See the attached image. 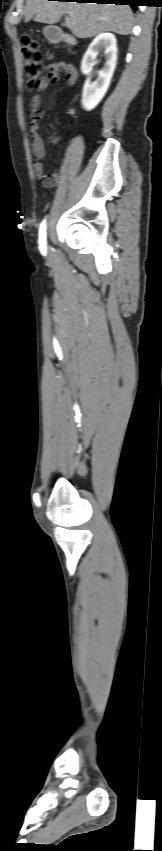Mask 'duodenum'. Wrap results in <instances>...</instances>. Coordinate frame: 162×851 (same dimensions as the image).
Segmentation results:
<instances>
[{"mask_svg": "<svg viewBox=\"0 0 162 851\" xmlns=\"http://www.w3.org/2000/svg\"><path fill=\"white\" fill-rule=\"evenodd\" d=\"M52 39H53V41H59L61 39V37L58 33H53Z\"/></svg>", "mask_w": 162, "mask_h": 851, "instance_id": "410a0bca", "label": "duodenum"}]
</instances>
